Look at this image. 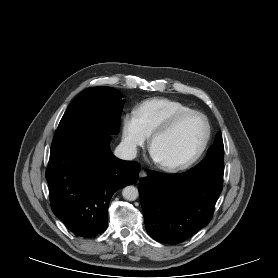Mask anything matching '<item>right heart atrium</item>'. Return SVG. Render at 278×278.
<instances>
[{
    "label": "right heart atrium",
    "mask_w": 278,
    "mask_h": 278,
    "mask_svg": "<svg viewBox=\"0 0 278 278\" xmlns=\"http://www.w3.org/2000/svg\"><path fill=\"white\" fill-rule=\"evenodd\" d=\"M122 143L125 149L135 154L141 147L145 145L149 138V134L143 127L137 113L135 111L127 112L121 120Z\"/></svg>",
    "instance_id": "right-heart-atrium-1"
}]
</instances>
